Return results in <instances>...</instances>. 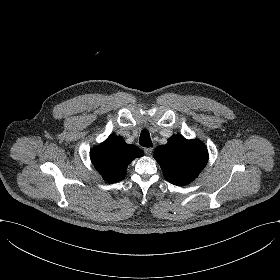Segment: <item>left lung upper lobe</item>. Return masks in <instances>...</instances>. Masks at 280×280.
I'll list each match as a JSON object with an SVG mask.
<instances>
[{
    "mask_svg": "<svg viewBox=\"0 0 280 280\" xmlns=\"http://www.w3.org/2000/svg\"><path fill=\"white\" fill-rule=\"evenodd\" d=\"M154 158L160 164L167 181L183 186L193 181L205 167L208 152L199 140H187L173 135L166 145L156 148Z\"/></svg>",
    "mask_w": 280,
    "mask_h": 280,
    "instance_id": "left-lung-upper-lobe-1",
    "label": "left lung upper lobe"
}]
</instances>
